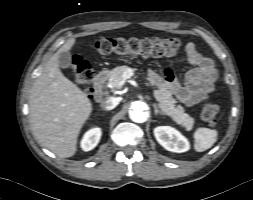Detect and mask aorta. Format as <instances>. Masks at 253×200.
I'll return each mask as SVG.
<instances>
[{"label":"aorta","instance_id":"aorta-1","mask_svg":"<svg viewBox=\"0 0 253 200\" xmlns=\"http://www.w3.org/2000/svg\"><path fill=\"white\" fill-rule=\"evenodd\" d=\"M147 105L145 102L136 101L132 104V110L129 113L130 119L136 123H144L148 119L146 112Z\"/></svg>","mask_w":253,"mask_h":200}]
</instances>
